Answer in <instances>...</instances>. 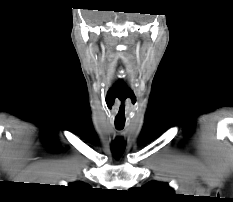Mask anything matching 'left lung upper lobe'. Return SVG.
I'll return each instance as SVG.
<instances>
[{
    "label": "left lung upper lobe",
    "mask_w": 233,
    "mask_h": 202,
    "mask_svg": "<svg viewBox=\"0 0 233 202\" xmlns=\"http://www.w3.org/2000/svg\"><path fill=\"white\" fill-rule=\"evenodd\" d=\"M136 191L157 201H168L175 196L168 184L156 181H151Z\"/></svg>",
    "instance_id": "5c2ea615"
}]
</instances>
